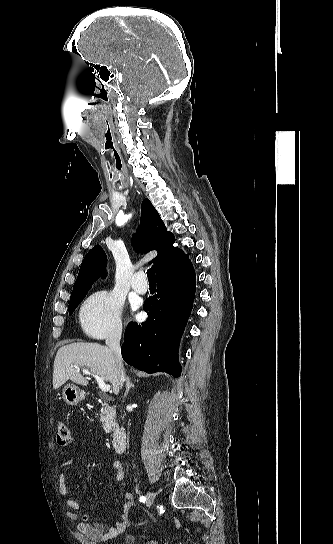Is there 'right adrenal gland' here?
<instances>
[{"label":"right adrenal gland","mask_w":333,"mask_h":544,"mask_svg":"<svg viewBox=\"0 0 333 544\" xmlns=\"http://www.w3.org/2000/svg\"><path fill=\"white\" fill-rule=\"evenodd\" d=\"M135 385L131 383L130 381V378L127 376L126 377V392H125V397L128 395V392L131 388H133Z\"/></svg>","instance_id":"right-adrenal-gland-1"}]
</instances>
